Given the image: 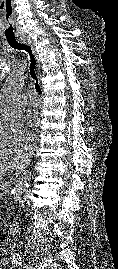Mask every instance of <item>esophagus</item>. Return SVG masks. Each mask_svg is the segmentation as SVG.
<instances>
[{
    "label": "esophagus",
    "instance_id": "esophagus-1",
    "mask_svg": "<svg viewBox=\"0 0 118 269\" xmlns=\"http://www.w3.org/2000/svg\"><path fill=\"white\" fill-rule=\"evenodd\" d=\"M19 41L29 45L32 48V50H33V52H34V54L36 56V59H37V70H39L40 69V64H39V60L37 58V52H36L33 40L30 37H22V38L19 39Z\"/></svg>",
    "mask_w": 118,
    "mask_h": 269
}]
</instances>
